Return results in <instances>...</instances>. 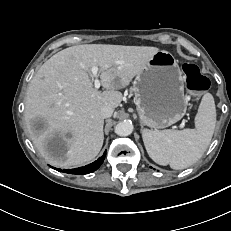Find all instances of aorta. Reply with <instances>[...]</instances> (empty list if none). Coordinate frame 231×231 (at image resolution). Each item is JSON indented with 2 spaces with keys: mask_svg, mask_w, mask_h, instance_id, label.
<instances>
[{
  "mask_svg": "<svg viewBox=\"0 0 231 231\" xmlns=\"http://www.w3.org/2000/svg\"><path fill=\"white\" fill-rule=\"evenodd\" d=\"M114 131L119 136H128L133 131V124L129 121H122L119 122L115 128Z\"/></svg>",
  "mask_w": 231,
  "mask_h": 231,
  "instance_id": "762f6f07",
  "label": "aorta"
}]
</instances>
